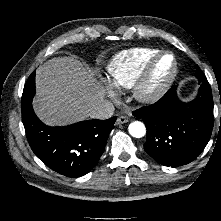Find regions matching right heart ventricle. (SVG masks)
Listing matches in <instances>:
<instances>
[{
	"instance_id": "1",
	"label": "right heart ventricle",
	"mask_w": 221,
	"mask_h": 221,
	"mask_svg": "<svg viewBox=\"0 0 221 221\" xmlns=\"http://www.w3.org/2000/svg\"><path fill=\"white\" fill-rule=\"evenodd\" d=\"M160 50L131 48L115 54L106 66L111 84L116 88H132L148 61Z\"/></svg>"
}]
</instances>
